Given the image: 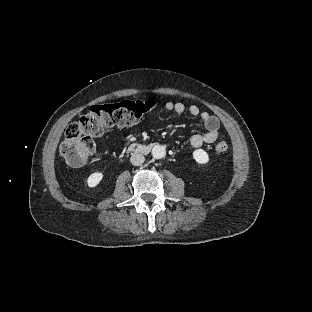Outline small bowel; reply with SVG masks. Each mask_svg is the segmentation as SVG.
Listing matches in <instances>:
<instances>
[{
    "label": "small bowel",
    "mask_w": 312,
    "mask_h": 312,
    "mask_svg": "<svg viewBox=\"0 0 312 312\" xmlns=\"http://www.w3.org/2000/svg\"><path fill=\"white\" fill-rule=\"evenodd\" d=\"M166 109L173 111L178 115H183L187 111L193 117H199L206 128L205 133L195 134L190 138L192 147L197 148L203 144H210L217 141L220 137V120L206 112L202 111L198 105H190L188 108L182 102H167Z\"/></svg>",
    "instance_id": "1"
}]
</instances>
